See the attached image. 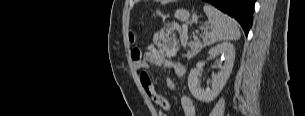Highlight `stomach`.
<instances>
[{
	"instance_id": "stomach-1",
	"label": "stomach",
	"mask_w": 305,
	"mask_h": 116,
	"mask_svg": "<svg viewBox=\"0 0 305 116\" xmlns=\"http://www.w3.org/2000/svg\"><path fill=\"white\" fill-rule=\"evenodd\" d=\"M158 15H161L159 11L156 12ZM175 18L178 19L179 21L186 22V23H191L197 20V17L194 16L192 20L190 19V14L187 10L185 9H178L175 11Z\"/></svg>"
}]
</instances>
